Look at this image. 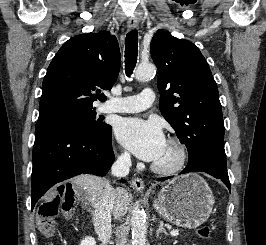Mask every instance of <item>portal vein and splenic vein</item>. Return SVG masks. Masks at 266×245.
<instances>
[{
	"label": "portal vein and splenic vein",
	"mask_w": 266,
	"mask_h": 245,
	"mask_svg": "<svg viewBox=\"0 0 266 245\" xmlns=\"http://www.w3.org/2000/svg\"><path fill=\"white\" fill-rule=\"evenodd\" d=\"M170 235L171 237H177V235H179V231H171Z\"/></svg>",
	"instance_id": "18ae733b"
}]
</instances>
